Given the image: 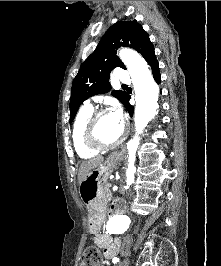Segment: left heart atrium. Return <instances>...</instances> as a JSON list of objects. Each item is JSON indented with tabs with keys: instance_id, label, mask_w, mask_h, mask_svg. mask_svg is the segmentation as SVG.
Returning <instances> with one entry per match:
<instances>
[{
	"instance_id": "1",
	"label": "left heart atrium",
	"mask_w": 221,
	"mask_h": 266,
	"mask_svg": "<svg viewBox=\"0 0 221 266\" xmlns=\"http://www.w3.org/2000/svg\"><path fill=\"white\" fill-rule=\"evenodd\" d=\"M111 117L120 125H123V112L119 105H113L110 113Z\"/></svg>"
}]
</instances>
